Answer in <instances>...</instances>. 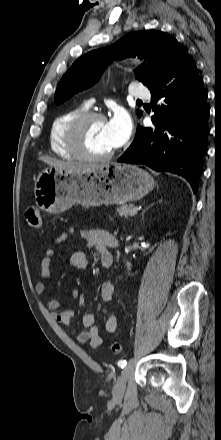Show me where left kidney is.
I'll use <instances>...</instances> for the list:
<instances>
[{
	"instance_id": "1",
	"label": "left kidney",
	"mask_w": 221,
	"mask_h": 440,
	"mask_svg": "<svg viewBox=\"0 0 221 440\" xmlns=\"http://www.w3.org/2000/svg\"><path fill=\"white\" fill-rule=\"evenodd\" d=\"M130 266H131V264L129 262H127L128 270H130Z\"/></svg>"
}]
</instances>
